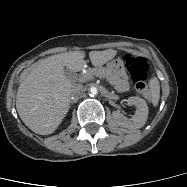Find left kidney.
Segmentation results:
<instances>
[{"instance_id":"obj_1","label":"left kidney","mask_w":187,"mask_h":187,"mask_svg":"<svg viewBox=\"0 0 187 187\" xmlns=\"http://www.w3.org/2000/svg\"><path fill=\"white\" fill-rule=\"evenodd\" d=\"M128 104H132L136 107V112L131 119L126 118L119 112H113V118L115 122L125 128L136 129L141 128L148 118V106L145 100L140 97H130L127 100Z\"/></svg>"}]
</instances>
